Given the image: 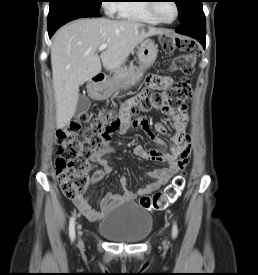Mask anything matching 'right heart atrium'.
Masks as SVG:
<instances>
[{"instance_id":"d8ad5b80","label":"right heart atrium","mask_w":258,"mask_h":275,"mask_svg":"<svg viewBox=\"0 0 258 275\" xmlns=\"http://www.w3.org/2000/svg\"><path fill=\"white\" fill-rule=\"evenodd\" d=\"M114 4H115V3L108 4V7H109L110 11H113V10H114Z\"/></svg>"}]
</instances>
